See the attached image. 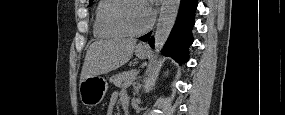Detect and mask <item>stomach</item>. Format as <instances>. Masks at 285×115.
Here are the masks:
<instances>
[{
	"instance_id": "obj_1",
	"label": "stomach",
	"mask_w": 285,
	"mask_h": 115,
	"mask_svg": "<svg viewBox=\"0 0 285 115\" xmlns=\"http://www.w3.org/2000/svg\"><path fill=\"white\" fill-rule=\"evenodd\" d=\"M148 50L135 48V55L143 59L147 56ZM108 89L107 81L100 76H91L79 84V94L82 103L88 107L97 106L104 98Z\"/></svg>"
}]
</instances>
